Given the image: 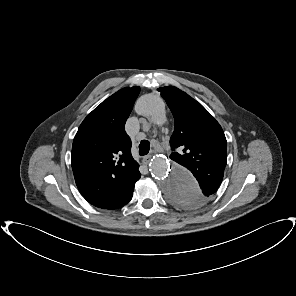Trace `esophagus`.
<instances>
[{"label": "esophagus", "instance_id": "obj_1", "mask_svg": "<svg viewBox=\"0 0 296 296\" xmlns=\"http://www.w3.org/2000/svg\"><path fill=\"white\" fill-rule=\"evenodd\" d=\"M151 159V155L144 156L142 159L143 164L147 165Z\"/></svg>", "mask_w": 296, "mask_h": 296}]
</instances>
